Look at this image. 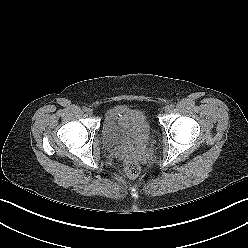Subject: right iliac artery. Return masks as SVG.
I'll return each instance as SVG.
<instances>
[{
  "instance_id": "82829eb1",
  "label": "right iliac artery",
  "mask_w": 248,
  "mask_h": 248,
  "mask_svg": "<svg viewBox=\"0 0 248 248\" xmlns=\"http://www.w3.org/2000/svg\"><path fill=\"white\" fill-rule=\"evenodd\" d=\"M83 111L86 112L87 111V107H83Z\"/></svg>"
}]
</instances>
